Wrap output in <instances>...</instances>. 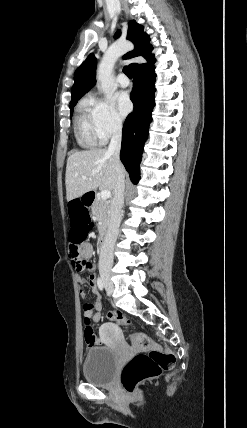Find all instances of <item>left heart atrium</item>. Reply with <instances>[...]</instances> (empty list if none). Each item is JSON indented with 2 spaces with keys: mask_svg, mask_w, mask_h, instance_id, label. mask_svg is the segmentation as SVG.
Returning <instances> with one entry per match:
<instances>
[{
  "mask_svg": "<svg viewBox=\"0 0 247 428\" xmlns=\"http://www.w3.org/2000/svg\"><path fill=\"white\" fill-rule=\"evenodd\" d=\"M116 106L121 116L127 115L132 108L129 96L125 92H120L115 96Z\"/></svg>",
  "mask_w": 247,
  "mask_h": 428,
  "instance_id": "obj_1",
  "label": "left heart atrium"
}]
</instances>
